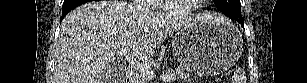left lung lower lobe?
<instances>
[{
  "label": "left lung lower lobe",
  "instance_id": "obj_1",
  "mask_svg": "<svg viewBox=\"0 0 307 83\" xmlns=\"http://www.w3.org/2000/svg\"><path fill=\"white\" fill-rule=\"evenodd\" d=\"M231 19L238 21L242 25V27L244 28V19L243 18L242 19L241 18H231Z\"/></svg>",
  "mask_w": 307,
  "mask_h": 83
}]
</instances>
